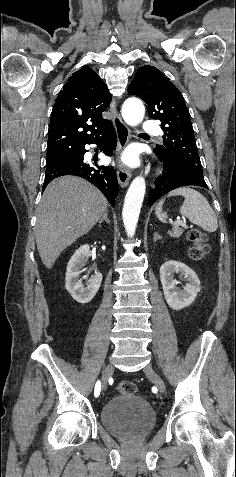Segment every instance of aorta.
<instances>
[{"label":"aorta","instance_id":"aorta-1","mask_svg":"<svg viewBox=\"0 0 236 477\" xmlns=\"http://www.w3.org/2000/svg\"><path fill=\"white\" fill-rule=\"evenodd\" d=\"M121 112L124 121L129 126L135 127L142 122L145 115V107L140 99L130 97L123 103ZM145 191V179L142 176H137L131 182L126 193L122 217L129 237H133L135 234Z\"/></svg>","mask_w":236,"mask_h":477}]
</instances>
